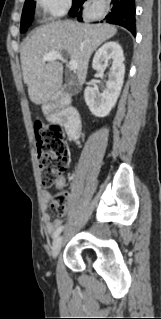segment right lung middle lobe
I'll list each match as a JSON object with an SVG mask.
<instances>
[{
	"label": "right lung middle lobe",
	"instance_id": "obj_1",
	"mask_svg": "<svg viewBox=\"0 0 161 319\" xmlns=\"http://www.w3.org/2000/svg\"><path fill=\"white\" fill-rule=\"evenodd\" d=\"M76 0H73L75 2ZM35 9V2L33 0H26L23 8V13L21 17L20 31L25 32L30 26Z\"/></svg>",
	"mask_w": 161,
	"mask_h": 319
}]
</instances>
